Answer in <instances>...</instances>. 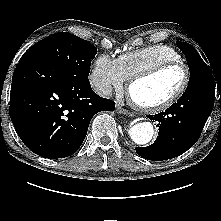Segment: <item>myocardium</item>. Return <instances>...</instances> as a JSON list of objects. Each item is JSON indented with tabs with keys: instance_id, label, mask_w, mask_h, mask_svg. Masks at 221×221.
I'll return each instance as SVG.
<instances>
[{
	"instance_id": "myocardium-1",
	"label": "myocardium",
	"mask_w": 221,
	"mask_h": 221,
	"mask_svg": "<svg viewBox=\"0 0 221 221\" xmlns=\"http://www.w3.org/2000/svg\"><path fill=\"white\" fill-rule=\"evenodd\" d=\"M171 67H181L184 70V79L182 85L171 97H169L166 101L156 105H143L133 98L132 88L136 83L149 79ZM190 79L191 73L187 64L182 61H165L158 63L130 78L127 87V93L131 103L136 109L147 113H159L171 108L176 102H178V100L185 94L186 90L188 89Z\"/></svg>"
}]
</instances>
